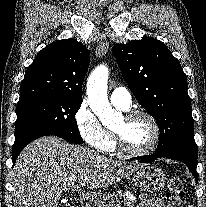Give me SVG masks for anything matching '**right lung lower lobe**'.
Listing matches in <instances>:
<instances>
[{
  "instance_id": "obj_1",
  "label": "right lung lower lobe",
  "mask_w": 206,
  "mask_h": 207,
  "mask_svg": "<svg viewBox=\"0 0 206 207\" xmlns=\"http://www.w3.org/2000/svg\"><path fill=\"white\" fill-rule=\"evenodd\" d=\"M25 146H26V145H25ZM25 146H23V147H21V148H18V149H16V150H13V152H12L13 165L15 164V161H16L18 155L20 154V152L23 150V148H24Z\"/></svg>"
}]
</instances>
